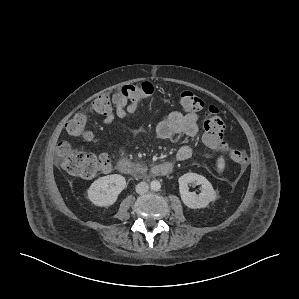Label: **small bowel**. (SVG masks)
I'll return each mask as SVG.
<instances>
[{
	"label": "small bowel",
	"instance_id": "c3829d8e",
	"mask_svg": "<svg viewBox=\"0 0 299 299\" xmlns=\"http://www.w3.org/2000/svg\"><path fill=\"white\" fill-rule=\"evenodd\" d=\"M113 107L104 115V126L109 127L115 118H126L134 114L139 102L130 101L120 92L112 95ZM199 116L196 113L172 112L169 116L161 121L156 127V135L160 139H169L177 135L195 137L199 133L198 125ZM192 156V148L189 145H182L176 153L179 161H184Z\"/></svg>",
	"mask_w": 299,
	"mask_h": 299
}]
</instances>
